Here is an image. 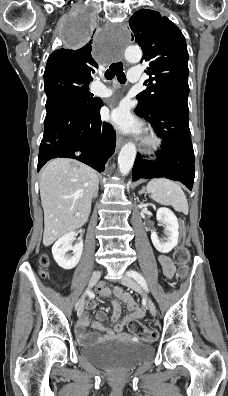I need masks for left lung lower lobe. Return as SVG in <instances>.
I'll list each match as a JSON object with an SVG mask.
<instances>
[{
    "instance_id": "left-lung-lower-lobe-1",
    "label": "left lung lower lobe",
    "mask_w": 228,
    "mask_h": 396,
    "mask_svg": "<svg viewBox=\"0 0 228 396\" xmlns=\"http://www.w3.org/2000/svg\"><path fill=\"white\" fill-rule=\"evenodd\" d=\"M188 96H173L160 101L153 111L146 113L136 107L138 116L151 123L153 130L163 139L160 157L148 161L137 155L132 170L133 181L140 178L165 177L182 182L192 189L194 151L188 124Z\"/></svg>"
}]
</instances>
